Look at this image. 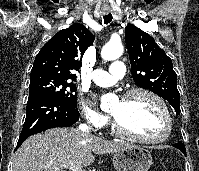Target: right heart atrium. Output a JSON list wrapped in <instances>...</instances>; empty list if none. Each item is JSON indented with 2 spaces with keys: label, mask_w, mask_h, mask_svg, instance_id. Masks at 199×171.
Masks as SVG:
<instances>
[{
  "label": "right heart atrium",
  "mask_w": 199,
  "mask_h": 171,
  "mask_svg": "<svg viewBox=\"0 0 199 171\" xmlns=\"http://www.w3.org/2000/svg\"><path fill=\"white\" fill-rule=\"evenodd\" d=\"M79 110L85 122L96 130H100L108 123V118L100 114L88 101H79Z\"/></svg>",
  "instance_id": "1"
}]
</instances>
